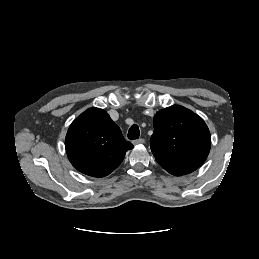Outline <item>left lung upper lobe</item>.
I'll use <instances>...</instances> for the list:
<instances>
[{
    "label": "left lung upper lobe",
    "instance_id": "1",
    "mask_svg": "<svg viewBox=\"0 0 259 259\" xmlns=\"http://www.w3.org/2000/svg\"><path fill=\"white\" fill-rule=\"evenodd\" d=\"M150 146L158 163L201 166L211 145L210 132L201 117L173 105L157 112Z\"/></svg>",
    "mask_w": 259,
    "mask_h": 259
}]
</instances>
